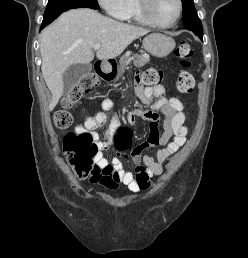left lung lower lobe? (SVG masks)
<instances>
[{
	"instance_id": "0a47b994",
	"label": "left lung lower lobe",
	"mask_w": 248,
	"mask_h": 258,
	"mask_svg": "<svg viewBox=\"0 0 248 258\" xmlns=\"http://www.w3.org/2000/svg\"><path fill=\"white\" fill-rule=\"evenodd\" d=\"M188 30L194 32L201 40H203V28L202 27H189Z\"/></svg>"
}]
</instances>
